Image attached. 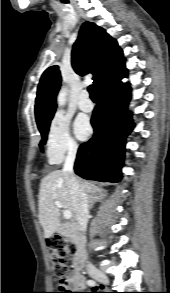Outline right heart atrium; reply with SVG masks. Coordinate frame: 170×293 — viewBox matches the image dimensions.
I'll list each match as a JSON object with an SVG mask.
<instances>
[{
	"mask_svg": "<svg viewBox=\"0 0 170 293\" xmlns=\"http://www.w3.org/2000/svg\"><path fill=\"white\" fill-rule=\"evenodd\" d=\"M78 144L70 132L69 120L56 114L49 125L46 138V155L52 164L60 163L66 156L76 154Z\"/></svg>",
	"mask_w": 170,
	"mask_h": 293,
	"instance_id": "obj_1",
	"label": "right heart atrium"
}]
</instances>
